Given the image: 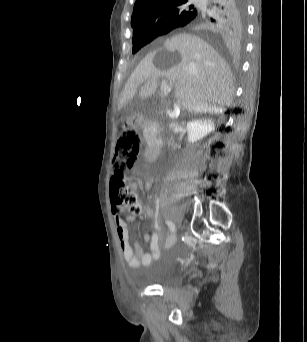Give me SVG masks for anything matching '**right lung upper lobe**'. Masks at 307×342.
<instances>
[{"label": "right lung upper lobe", "instance_id": "cb5924a9", "mask_svg": "<svg viewBox=\"0 0 307 342\" xmlns=\"http://www.w3.org/2000/svg\"><path fill=\"white\" fill-rule=\"evenodd\" d=\"M240 7L236 0H206L193 4L190 0H136L132 14L133 35L170 31L189 25L217 41L229 33L233 13Z\"/></svg>", "mask_w": 307, "mask_h": 342}]
</instances>
